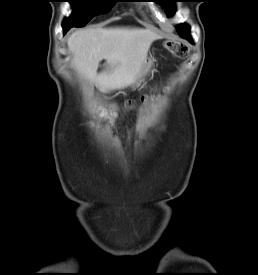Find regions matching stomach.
Here are the masks:
<instances>
[{
    "label": "stomach",
    "mask_w": 258,
    "mask_h": 275,
    "mask_svg": "<svg viewBox=\"0 0 258 275\" xmlns=\"http://www.w3.org/2000/svg\"><path fill=\"white\" fill-rule=\"evenodd\" d=\"M153 65V61L152 59H146V61L143 64V67L141 69L140 74L138 75V77L135 79V81L132 83L133 86L135 85H139V83L142 81L143 77L149 72V70L151 69Z\"/></svg>",
    "instance_id": "obj_1"
}]
</instances>
